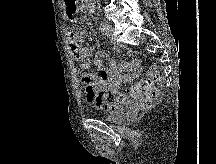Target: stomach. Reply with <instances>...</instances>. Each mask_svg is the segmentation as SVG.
<instances>
[{"instance_id": "0dacf381", "label": "stomach", "mask_w": 216, "mask_h": 164, "mask_svg": "<svg viewBox=\"0 0 216 164\" xmlns=\"http://www.w3.org/2000/svg\"><path fill=\"white\" fill-rule=\"evenodd\" d=\"M65 3V17L67 20H78L80 12H78V0H64Z\"/></svg>"}]
</instances>
